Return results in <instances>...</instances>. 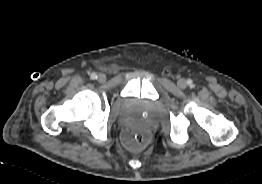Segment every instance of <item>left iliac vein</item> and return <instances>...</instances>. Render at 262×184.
<instances>
[{
  "label": "left iliac vein",
  "instance_id": "left-iliac-vein-1",
  "mask_svg": "<svg viewBox=\"0 0 262 184\" xmlns=\"http://www.w3.org/2000/svg\"><path fill=\"white\" fill-rule=\"evenodd\" d=\"M178 86H179L180 88L186 87V80H185V79H179V80H178Z\"/></svg>",
  "mask_w": 262,
  "mask_h": 184
}]
</instances>
